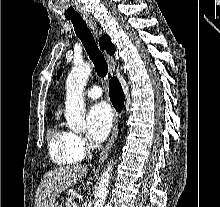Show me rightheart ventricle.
<instances>
[{"instance_id": "obj_1", "label": "right heart ventricle", "mask_w": 220, "mask_h": 207, "mask_svg": "<svg viewBox=\"0 0 220 207\" xmlns=\"http://www.w3.org/2000/svg\"><path fill=\"white\" fill-rule=\"evenodd\" d=\"M48 151L51 160L59 166H69L80 162L85 155L78 144L77 136L61 126H56L48 140Z\"/></svg>"}]
</instances>
